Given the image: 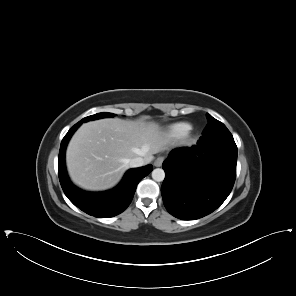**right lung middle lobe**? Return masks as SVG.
<instances>
[{"label": "right lung middle lobe", "instance_id": "right-lung-middle-lobe-1", "mask_svg": "<svg viewBox=\"0 0 296 296\" xmlns=\"http://www.w3.org/2000/svg\"><path fill=\"white\" fill-rule=\"evenodd\" d=\"M113 116H115V114H113V113H107V112L98 113V114L91 115V116H88L86 118H83L81 121H79V123L82 124L83 122H87V121H90V120H96V119H100V118L113 117Z\"/></svg>", "mask_w": 296, "mask_h": 296}]
</instances>
